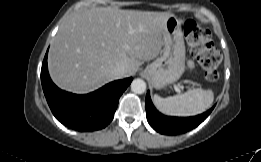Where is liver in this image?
<instances>
[{
    "instance_id": "6515ba94",
    "label": "liver",
    "mask_w": 261,
    "mask_h": 162,
    "mask_svg": "<svg viewBox=\"0 0 261 162\" xmlns=\"http://www.w3.org/2000/svg\"><path fill=\"white\" fill-rule=\"evenodd\" d=\"M173 14L93 7L69 16L53 38L48 54L52 80L62 89L84 94L136 73L154 59L163 46L167 19Z\"/></svg>"
}]
</instances>
